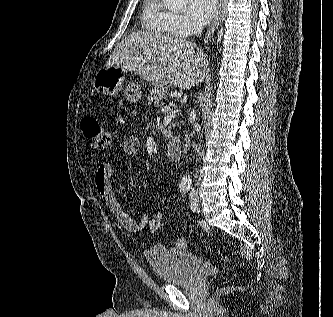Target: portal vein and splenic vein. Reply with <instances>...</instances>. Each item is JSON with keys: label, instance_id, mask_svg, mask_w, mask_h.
Instances as JSON below:
<instances>
[{"label": "portal vein and splenic vein", "instance_id": "1", "mask_svg": "<svg viewBox=\"0 0 333 317\" xmlns=\"http://www.w3.org/2000/svg\"><path fill=\"white\" fill-rule=\"evenodd\" d=\"M169 111H170V107L169 106H163L162 107V112L168 113Z\"/></svg>", "mask_w": 333, "mask_h": 317}]
</instances>
